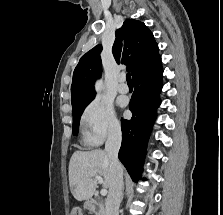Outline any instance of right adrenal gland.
Masks as SVG:
<instances>
[{
  "instance_id": "2a0ac1e0",
  "label": "right adrenal gland",
  "mask_w": 223,
  "mask_h": 215,
  "mask_svg": "<svg viewBox=\"0 0 223 215\" xmlns=\"http://www.w3.org/2000/svg\"><path fill=\"white\" fill-rule=\"evenodd\" d=\"M124 185H125V183H123V187H122L121 201H123V197H124Z\"/></svg>"
}]
</instances>
